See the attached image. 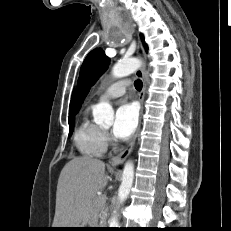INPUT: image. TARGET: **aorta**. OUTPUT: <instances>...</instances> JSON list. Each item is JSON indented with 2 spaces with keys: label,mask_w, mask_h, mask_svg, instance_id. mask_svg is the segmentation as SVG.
<instances>
[{
  "label": "aorta",
  "mask_w": 231,
  "mask_h": 231,
  "mask_svg": "<svg viewBox=\"0 0 231 231\" xmlns=\"http://www.w3.org/2000/svg\"><path fill=\"white\" fill-rule=\"evenodd\" d=\"M141 66L137 58L123 59L116 63L112 69V75L115 78H122L135 72ZM94 121L97 124H111L114 120V111L112 106L105 101L100 102L93 109ZM134 179V165L131 161L127 162L123 169L122 182L118 191V204L123 203L130 192ZM109 228H119V220L116 213L109 220Z\"/></svg>",
  "instance_id": "obj_1"
}]
</instances>
